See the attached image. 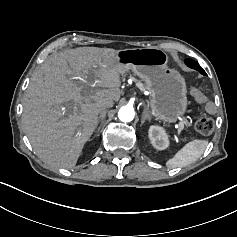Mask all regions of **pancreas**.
I'll return each instance as SVG.
<instances>
[{
	"instance_id": "cf45deb5",
	"label": "pancreas",
	"mask_w": 237,
	"mask_h": 237,
	"mask_svg": "<svg viewBox=\"0 0 237 237\" xmlns=\"http://www.w3.org/2000/svg\"><path fill=\"white\" fill-rule=\"evenodd\" d=\"M131 79L136 83V86L140 89V90H145V86H144V84L141 82V81H139V80H137L136 78H134V77H131Z\"/></svg>"
}]
</instances>
